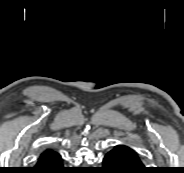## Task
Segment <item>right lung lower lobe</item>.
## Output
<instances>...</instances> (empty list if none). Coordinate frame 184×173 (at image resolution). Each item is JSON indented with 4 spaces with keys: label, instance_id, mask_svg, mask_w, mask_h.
<instances>
[{
    "label": "right lung lower lobe",
    "instance_id": "obj_1",
    "mask_svg": "<svg viewBox=\"0 0 184 173\" xmlns=\"http://www.w3.org/2000/svg\"><path fill=\"white\" fill-rule=\"evenodd\" d=\"M69 169L63 166L61 155L47 149L39 156L36 166L32 168L31 173H69Z\"/></svg>",
    "mask_w": 184,
    "mask_h": 173
}]
</instances>
